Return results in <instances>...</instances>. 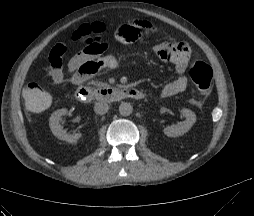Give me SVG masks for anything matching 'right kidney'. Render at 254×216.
<instances>
[{"label": "right kidney", "instance_id": "right-kidney-1", "mask_svg": "<svg viewBox=\"0 0 254 216\" xmlns=\"http://www.w3.org/2000/svg\"><path fill=\"white\" fill-rule=\"evenodd\" d=\"M68 113L67 109L56 110L49 119V126L54 136L60 140H65L69 143L76 142L82 135L81 133L67 134L60 125L59 120L62 116Z\"/></svg>", "mask_w": 254, "mask_h": 216}]
</instances>
